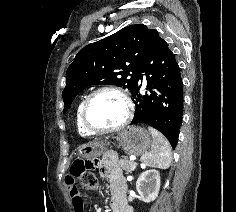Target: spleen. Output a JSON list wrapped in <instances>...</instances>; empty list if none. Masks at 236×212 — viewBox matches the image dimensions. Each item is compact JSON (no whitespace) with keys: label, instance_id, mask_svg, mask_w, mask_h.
<instances>
[{"label":"spleen","instance_id":"1","mask_svg":"<svg viewBox=\"0 0 236 212\" xmlns=\"http://www.w3.org/2000/svg\"><path fill=\"white\" fill-rule=\"evenodd\" d=\"M148 129L153 137V143L151 150L143 154L141 161L149 167L159 169L169 168L172 156L168 140L155 128L149 127Z\"/></svg>","mask_w":236,"mask_h":212}]
</instances>
